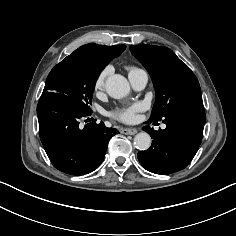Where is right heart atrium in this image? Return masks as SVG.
Listing matches in <instances>:
<instances>
[{
  "instance_id": "1",
  "label": "right heart atrium",
  "mask_w": 236,
  "mask_h": 236,
  "mask_svg": "<svg viewBox=\"0 0 236 236\" xmlns=\"http://www.w3.org/2000/svg\"><path fill=\"white\" fill-rule=\"evenodd\" d=\"M111 72H112L111 65H106L98 72L93 83V87L96 91L101 90L104 87L105 81L107 77L111 74Z\"/></svg>"
}]
</instances>
